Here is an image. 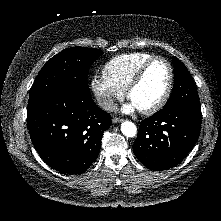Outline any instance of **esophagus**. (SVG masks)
I'll use <instances>...</instances> for the list:
<instances>
[{"label":"esophagus","instance_id":"obj_1","mask_svg":"<svg viewBox=\"0 0 221 221\" xmlns=\"http://www.w3.org/2000/svg\"><path fill=\"white\" fill-rule=\"evenodd\" d=\"M123 121V119L122 118H119V117H113V119H112V122L113 123H120V122H122Z\"/></svg>","mask_w":221,"mask_h":221}]
</instances>
